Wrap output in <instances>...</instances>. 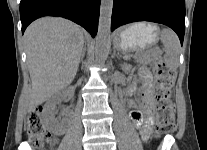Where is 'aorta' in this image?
I'll return each mask as SVG.
<instances>
[{"instance_id": "1", "label": "aorta", "mask_w": 207, "mask_h": 150, "mask_svg": "<svg viewBox=\"0 0 207 150\" xmlns=\"http://www.w3.org/2000/svg\"><path fill=\"white\" fill-rule=\"evenodd\" d=\"M113 0H101L98 32L96 36L95 58L104 62L111 46V17Z\"/></svg>"}]
</instances>
